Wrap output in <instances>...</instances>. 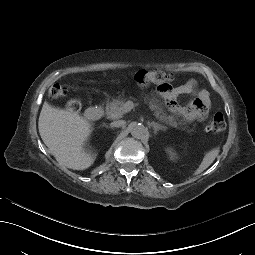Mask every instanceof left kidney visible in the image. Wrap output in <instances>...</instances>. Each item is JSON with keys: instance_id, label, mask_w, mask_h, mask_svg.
<instances>
[{"instance_id": "left-kidney-1", "label": "left kidney", "mask_w": 255, "mask_h": 255, "mask_svg": "<svg viewBox=\"0 0 255 255\" xmlns=\"http://www.w3.org/2000/svg\"><path fill=\"white\" fill-rule=\"evenodd\" d=\"M170 156H171V158H173V157H174V154L170 153Z\"/></svg>"}]
</instances>
